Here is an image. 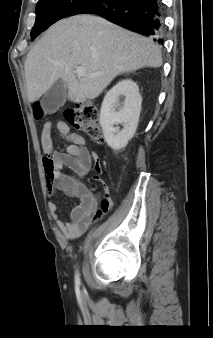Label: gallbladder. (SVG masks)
<instances>
[{
    "mask_svg": "<svg viewBox=\"0 0 213 338\" xmlns=\"http://www.w3.org/2000/svg\"><path fill=\"white\" fill-rule=\"evenodd\" d=\"M66 98L67 87L65 83L59 79L43 95L40 100V105L45 114H52L64 105Z\"/></svg>",
    "mask_w": 213,
    "mask_h": 338,
    "instance_id": "obj_1",
    "label": "gallbladder"
}]
</instances>
